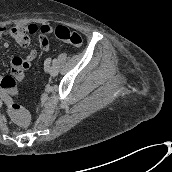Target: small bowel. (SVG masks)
<instances>
[{"label": "small bowel", "mask_w": 172, "mask_h": 172, "mask_svg": "<svg viewBox=\"0 0 172 172\" xmlns=\"http://www.w3.org/2000/svg\"><path fill=\"white\" fill-rule=\"evenodd\" d=\"M32 28L35 29V31L30 33ZM50 32L51 27L47 24L40 26L36 24H30L28 26H14L12 28L0 27V47L3 49H7L9 47V43L6 38H11L20 46L27 47L31 42L30 35L38 33L37 42L40 48L43 51H48L50 44L46 34ZM36 56V50H31L28 56L24 59L19 56L13 57L10 61L12 71L15 72L19 78H22L24 71L29 68L30 63L36 58Z\"/></svg>", "instance_id": "c3829d8e"}]
</instances>
